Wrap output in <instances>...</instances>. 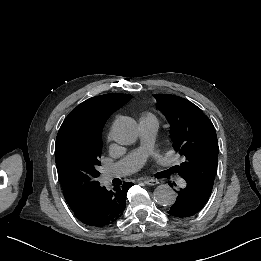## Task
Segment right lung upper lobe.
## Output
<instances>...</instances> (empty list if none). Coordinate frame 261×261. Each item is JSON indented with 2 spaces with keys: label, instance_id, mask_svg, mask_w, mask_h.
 <instances>
[{
  "label": "right lung upper lobe",
  "instance_id": "obj_1",
  "mask_svg": "<svg viewBox=\"0 0 261 261\" xmlns=\"http://www.w3.org/2000/svg\"><path fill=\"white\" fill-rule=\"evenodd\" d=\"M131 97L128 94L111 93L90 98L79 104L63 121L57 135L55 149L65 136L76 130L100 139L107 119Z\"/></svg>",
  "mask_w": 261,
  "mask_h": 261
}]
</instances>
